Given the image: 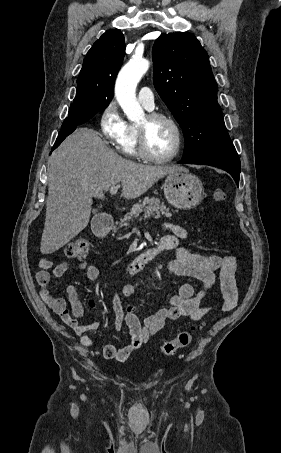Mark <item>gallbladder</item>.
Here are the masks:
<instances>
[{"mask_svg": "<svg viewBox=\"0 0 281 453\" xmlns=\"http://www.w3.org/2000/svg\"><path fill=\"white\" fill-rule=\"evenodd\" d=\"M93 212H97V208H93Z\"/></svg>", "mask_w": 281, "mask_h": 453, "instance_id": "bac80fb5", "label": "gallbladder"}]
</instances>
